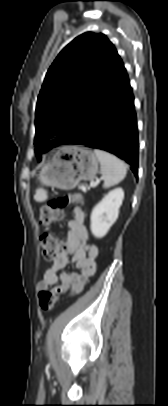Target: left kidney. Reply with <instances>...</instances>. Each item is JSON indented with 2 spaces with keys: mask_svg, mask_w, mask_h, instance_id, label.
<instances>
[{
  "mask_svg": "<svg viewBox=\"0 0 168 406\" xmlns=\"http://www.w3.org/2000/svg\"><path fill=\"white\" fill-rule=\"evenodd\" d=\"M124 192L122 188L110 191L93 208L91 213V232L97 238L104 237L116 222L122 205Z\"/></svg>",
  "mask_w": 168,
  "mask_h": 406,
  "instance_id": "obj_1",
  "label": "left kidney"
}]
</instances>
